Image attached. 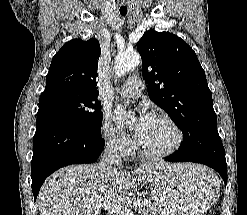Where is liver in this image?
<instances>
[{"mask_svg":"<svg viewBox=\"0 0 247 215\" xmlns=\"http://www.w3.org/2000/svg\"><path fill=\"white\" fill-rule=\"evenodd\" d=\"M171 166L165 162L144 163L130 172L122 167L107 175L99 164L71 165L53 173L43 184L37 203L40 215H97L94 207L111 202L123 205L136 189V180L151 182L158 170ZM195 171L196 167L186 164ZM138 175V176H136Z\"/></svg>","mask_w":247,"mask_h":215,"instance_id":"6515ba94","label":"liver"}]
</instances>
